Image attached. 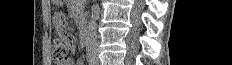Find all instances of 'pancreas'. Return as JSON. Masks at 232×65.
<instances>
[{
	"mask_svg": "<svg viewBox=\"0 0 232 65\" xmlns=\"http://www.w3.org/2000/svg\"><path fill=\"white\" fill-rule=\"evenodd\" d=\"M75 10H76L77 13H80V10H78V9H76V8H75Z\"/></svg>",
	"mask_w": 232,
	"mask_h": 65,
	"instance_id": "1",
	"label": "pancreas"
}]
</instances>
